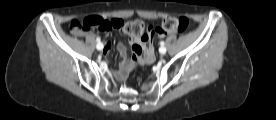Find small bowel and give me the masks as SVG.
I'll return each mask as SVG.
<instances>
[{"mask_svg": "<svg viewBox=\"0 0 276 120\" xmlns=\"http://www.w3.org/2000/svg\"><path fill=\"white\" fill-rule=\"evenodd\" d=\"M112 23L122 22L117 19L111 20ZM153 36L154 32L150 30V35L147 40L141 41L138 39H131L132 44V55L128 59L126 48L122 43L118 44V50L120 55L123 58V61L120 64L119 70L117 71V77L123 78L125 77L132 69H134L138 64H146L150 63L153 60ZM112 39L106 38L105 39V46L109 49L112 46ZM136 48L141 49L139 53ZM144 52V55H142Z\"/></svg>", "mask_w": 276, "mask_h": 120, "instance_id": "small-bowel-1", "label": "small bowel"}]
</instances>
